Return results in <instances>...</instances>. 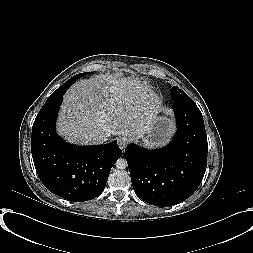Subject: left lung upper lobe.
Segmentation results:
<instances>
[{
	"instance_id": "left-lung-upper-lobe-1",
	"label": "left lung upper lobe",
	"mask_w": 253,
	"mask_h": 253,
	"mask_svg": "<svg viewBox=\"0 0 253 253\" xmlns=\"http://www.w3.org/2000/svg\"><path fill=\"white\" fill-rule=\"evenodd\" d=\"M171 96L173 100L177 103L187 104L191 106H197L195 102L182 90H180L178 87L173 86L171 88Z\"/></svg>"
}]
</instances>
